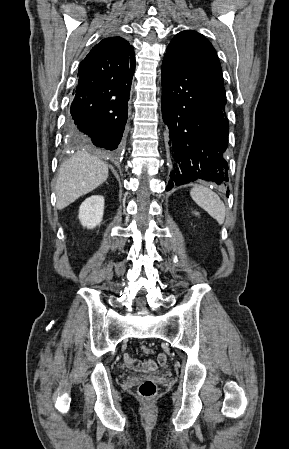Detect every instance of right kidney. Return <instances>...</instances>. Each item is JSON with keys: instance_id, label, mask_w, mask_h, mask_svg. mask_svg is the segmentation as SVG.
<instances>
[{"instance_id": "ca27d5eb", "label": "right kidney", "mask_w": 289, "mask_h": 449, "mask_svg": "<svg viewBox=\"0 0 289 449\" xmlns=\"http://www.w3.org/2000/svg\"><path fill=\"white\" fill-rule=\"evenodd\" d=\"M104 214V197L93 195L84 200L79 207L78 218L81 224L88 229L99 226Z\"/></svg>"}]
</instances>
